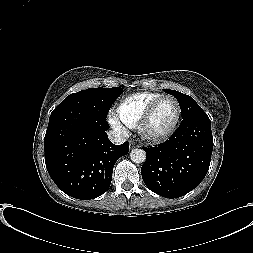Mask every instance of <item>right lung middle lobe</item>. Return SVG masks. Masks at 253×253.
Segmentation results:
<instances>
[{
  "label": "right lung middle lobe",
  "instance_id": "1",
  "mask_svg": "<svg viewBox=\"0 0 253 253\" xmlns=\"http://www.w3.org/2000/svg\"><path fill=\"white\" fill-rule=\"evenodd\" d=\"M123 93L121 87L89 88L68 95L54 110L76 107L106 118L112 103Z\"/></svg>",
  "mask_w": 253,
  "mask_h": 253
}]
</instances>
